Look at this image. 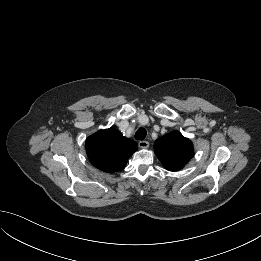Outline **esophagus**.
Returning <instances> with one entry per match:
<instances>
[{"instance_id":"1","label":"esophagus","mask_w":261,"mask_h":261,"mask_svg":"<svg viewBox=\"0 0 261 261\" xmlns=\"http://www.w3.org/2000/svg\"><path fill=\"white\" fill-rule=\"evenodd\" d=\"M138 146H139V148H143V149L148 148L149 142L148 141H139Z\"/></svg>"}]
</instances>
